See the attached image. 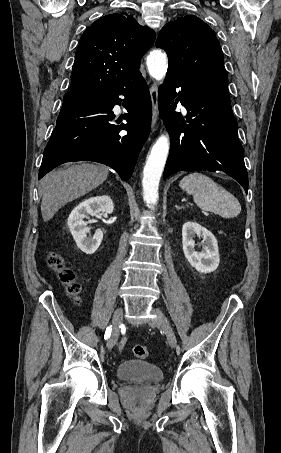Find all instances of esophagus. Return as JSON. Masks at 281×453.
<instances>
[{
    "instance_id": "esophagus-1",
    "label": "esophagus",
    "mask_w": 281,
    "mask_h": 453,
    "mask_svg": "<svg viewBox=\"0 0 281 453\" xmlns=\"http://www.w3.org/2000/svg\"><path fill=\"white\" fill-rule=\"evenodd\" d=\"M150 95H151V101H152V129L156 124L159 110H158V91H157V86L152 85L150 87Z\"/></svg>"
}]
</instances>
